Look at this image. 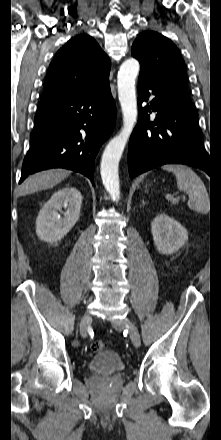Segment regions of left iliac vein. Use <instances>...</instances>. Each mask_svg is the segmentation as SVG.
<instances>
[{
    "instance_id": "4c4485c4",
    "label": "left iliac vein",
    "mask_w": 221,
    "mask_h": 440,
    "mask_svg": "<svg viewBox=\"0 0 221 440\" xmlns=\"http://www.w3.org/2000/svg\"><path fill=\"white\" fill-rule=\"evenodd\" d=\"M112 325L116 329H119L122 327H127L129 330L130 339H131L132 343L134 344V346H136V347L140 346V343H141L140 334H139L137 327L135 326V324L132 321H130L126 317L122 318V319H114V320H112Z\"/></svg>"
}]
</instances>
